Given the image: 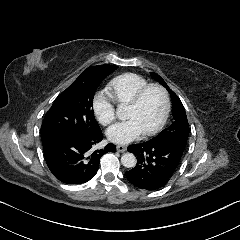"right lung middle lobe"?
Returning a JSON list of instances; mask_svg holds the SVG:
<instances>
[{
    "mask_svg": "<svg viewBox=\"0 0 240 240\" xmlns=\"http://www.w3.org/2000/svg\"><path fill=\"white\" fill-rule=\"evenodd\" d=\"M117 66H91L54 101L41 126L42 141L56 135L94 134L101 129L94 117L93 98L102 80Z\"/></svg>",
    "mask_w": 240,
    "mask_h": 240,
    "instance_id": "right-lung-middle-lobe-1",
    "label": "right lung middle lobe"
}]
</instances>
